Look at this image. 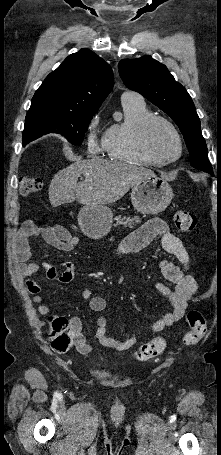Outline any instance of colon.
Returning a JSON list of instances; mask_svg holds the SVG:
<instances>
[{"label":"colon","mask_w":221,"mask_h":455,"mask_svg":"<svg viewBox=\"0 0 221 455\" xmlns=\"http://www.w3.org/2000/svg\"><path fill=\"white\" fill-rule=\"evenodd\" d=\"M44 183L40 178L25 176L20 181V193L22 195H31L41 191ZM176 227L185 233L192 232L197 224L194 213L188 211H178L174 215ZM189 325V331L184 337L187 345L198 342L206 332V322L199 311L191 310L186 316ZM52 347L57 352L66 351L72 344V329L70 321L63 316H57L52 319L51 331ZM166 348V340L157 337L143 344L137 351V358L142 361L150 360L163 353Z\"/></svg>","instance_id":"colon-1"}]
</instances>
